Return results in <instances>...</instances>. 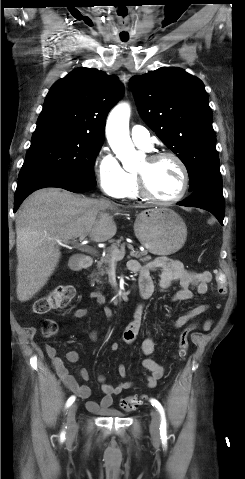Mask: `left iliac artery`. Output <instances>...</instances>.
Instances as JSON below:
<instances>
[{
  "instance_id": "left-iliac-artery-1",
  "label": "left iliac artery",
  "mask_w": 245,
  "mask_h": 479,
  "mask_svg": "<svg viewBox=\"0 0 245 479\" xmlns=\"http://www.w3.org/2000/svg\"><path fill=\"white\" fill-rule=\"evenodd\" d=\"M150 402L152 404V406H154L160 413L161 415V424H160V435H161V439L162 440H166L167 439V423H166V417H165V412H164V409L162 407V405L160 404L159 401H157L156 399H150Z\"/></svg>"
}]
</instances>
